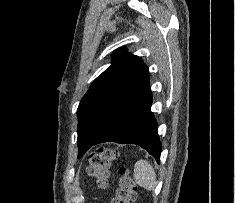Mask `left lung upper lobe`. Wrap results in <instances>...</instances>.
<instances>
[{"instance_id":"1","label":"left lung upper lobe","mask_w":235,"mask_h":203,"mask_svg":"<svg viewBox=\"0 0 235 203\" xmlns=\"http://www.w3.org/2000/svg\"><path fill=\"white\" fill-rule=\"evenodd\" d=\"M124 50L118 49L112 55V64L94 80L80 101L77 110L78 158L90 148H87L88 133L93 139L98 137L149 74L140 57Z\"/></svg>"}]
</instances>
